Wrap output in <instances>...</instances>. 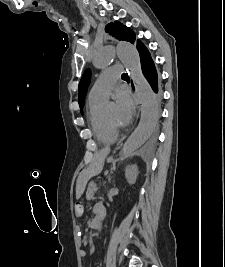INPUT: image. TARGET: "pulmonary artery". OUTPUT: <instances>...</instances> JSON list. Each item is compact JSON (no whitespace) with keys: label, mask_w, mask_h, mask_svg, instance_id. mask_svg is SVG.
Wrapping results in <instances>:
<instances>
[{"label":"pulmonary artery","mask_w":225,"mask_h":267,"mask_svg":"<svg viewBox=\"0 0 225 267\" xmlns=\"http://www.w3.org/2000/svg\"><path fill=\"white\" fill-rule=\"evenodd\" d=\"M121 72L122 66L120 64H115L101 73L89 92V99L101 101L105 100L112 90L115 82L120 78Z\"/></svg>","instance_id":"e3ab8cb5"}]
</instances>
